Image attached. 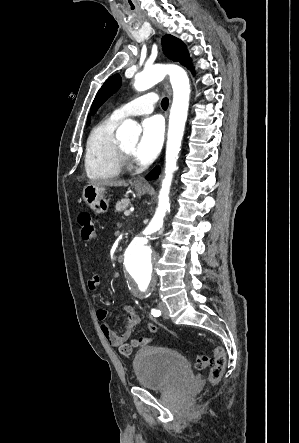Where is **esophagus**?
Returning <instances> with one entry per match:
<instances>
[{"label": "esophagus", "instance_id": "obj_1", "mask_svg": "<svg viewBox=\"0 0 299 443\" xmlns=\"http://www.w3.org/2000/svg\"><path fill=\"white\" fill-rule=\"evenodd\" d=\"M164 88L167 91V93L169 94V96H171V88L167 82L164 83ZM136 184L139 186H149V184L146 182V180L144 178L138 179L136 181Z\"/></svg>", "mask_w": 299, "mask_h": 443}]
</instances>
